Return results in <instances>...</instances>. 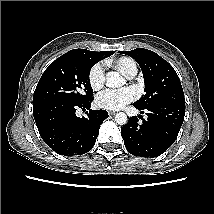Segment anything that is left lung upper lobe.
Here are the masks:
<instances>
[{
	"label": "left lung upper lobe",
	"mask_w": 214,
	"mask_h": 214,
	"mask_svg": "<svg viewBox=\"0 0 214 214\" xmlns=\"http://www.w3.org/2000/svg\"><path fill=\"white\" fill-rule=\"evenodd\" d=\"M119 52L135 59L144 75L146 93L133 104L134 107L145 109L169 102L185 104L180 79L174 68L162 57L144 48Z\"/></svg>",
	"instance_id": "1"
}]
</instances>
